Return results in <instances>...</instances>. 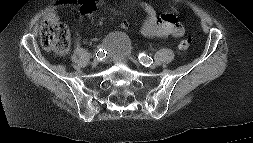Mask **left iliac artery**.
Returning <instances> with one entry per match:
<instances>
[{
    "mask_svg": "<svg viewBox=\"0 0 253 143\" xmlns=\"http://www.w3.org/2000/svg\"><path fill=\"white\" fill-rule=\"evenodd\" d=\"M138 58L142 65L146 67L150 66L153 63V59L144 53H140Z\"/></svg>",
    "mask_w": 253,
    "mask_h": 143,
    "instance_id": "left-iliac-artery-1",
    "label": "left iliac artery"
}]
</instances>
